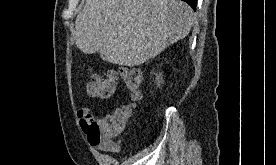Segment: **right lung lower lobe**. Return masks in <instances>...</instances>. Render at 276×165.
Instances as JSON below:
<instances>
[{
    "mask_svg": "<svg viewBox=\"0 0 276 165\" xmlns=\"http://www.w3.org/2000/svg\"><path fill=\"white\" fill-rule=\"evenodd\" d=\"M183 1L187 2L194 9V11L196 10L197 0H183Z\"/></svg>",
    "mask_w": 276,
    "mask_h": 165,
    "instance_id": "1",
    "label": "right lung lower lobe"
}]
</instances>
